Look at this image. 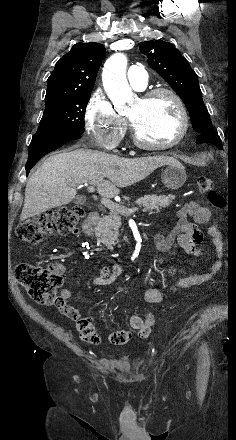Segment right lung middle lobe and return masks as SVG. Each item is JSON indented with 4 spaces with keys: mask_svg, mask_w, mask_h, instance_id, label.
<instances>
[{
    "mask_svg": "<svg viewBox=\"0 0 236 440\" xmlns=\"http://www.w3.org/2000/svg\"><path fill=\"white\" fill-rule=\"evenodd\" d=\"M90 93L72 98L46 102L45 111L36 134H62L84 132V115Z\"/></svg>",
    "mask_w": 236,
    "mask_h": 440,
    "instance_id": "obj_1",
    "label": "right lung middle lobe"
}]
</instances>
